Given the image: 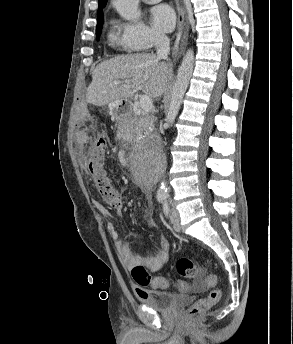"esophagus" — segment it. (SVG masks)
<instances>
[{"instance_id":"obj_1","label":"esophagus","mask_w":293,"mask_h":344,"mask_svg":"<svg viewBox=\"0 0 293 344\" xmlns=\"http://www.w3.org/2000/svg\"><path fill=\"white\" fill-rule=\"evenodd\" d=\"M183 19H185V12L182 11L181 9H179L178 22L181 23L183 21ZM179 39H180V32L177 33V39H176V43L174 46V50H176V48H177V44H178Z\"/></svg>"}]
</instances>
